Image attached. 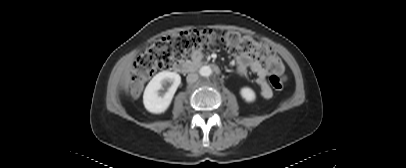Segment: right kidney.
I'll use <instances>...</instances> for the list:
<instances>
[{
	"instance_id": "ca27d5eb",
	"label": "right kidney",
	"mask_w": 406,
	"mask_h": 168,
	"mask_svg": "<svg viewBox=\"0 0 406 168\" xmlns=\"http://www.w3.org/2000/svg\"><path fill=\"white\" fill-rule=\"evenodd\" d=\"M180 83L181 77L175 72L162 71L156 74L144 91L143 103L145 108L154 114L165 112ZM167 85H170L168 91L162 96L160 90Z\"/></svg>"
}]
</instances>
